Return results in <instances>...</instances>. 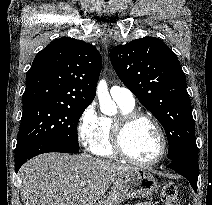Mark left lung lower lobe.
Instances as JSON below:
<instances>
[{
  "label": "left lung lower lobe",
  "instance_id": "left-lung-lower-lobe-1",
  "mask_svg": "<svg viewBox=\"0 0 212 205\" xmlns=\"http://www.w3.org/2000/svg\"><path fill=\"white\" fill-rule=\"evenodd\" d=\"M167 167L187 178L194 191H197L198 155L188 156L176 162H171Z\"/></svg>",
  "mask_w": 212,
  "mask_h": 205
}]
</instances>
